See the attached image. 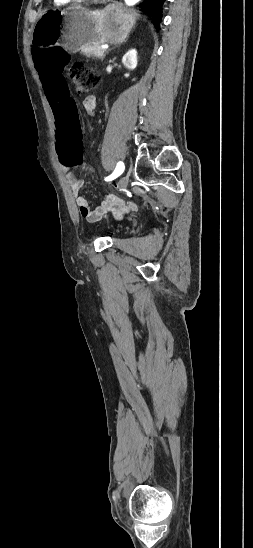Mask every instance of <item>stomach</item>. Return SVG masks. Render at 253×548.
Here are the masks:
<instances>
[{"label":"stomach","instance_id":"1","mask_svg":"<svg viewBox=\"0 0 253 548\" xmlns=\"http://www.w3.org/2000/svg\"><path fill=\"white\" fill-rule=\"evenodd\" d=\"M137 20V14L124 12L119 5L90 11L82 6L51 10L39 19L34 42L40 45L60 43L71 53L84 46L124 42Z\"/></svg>","mask_w":253,"mask_h":548}]
</instances>
